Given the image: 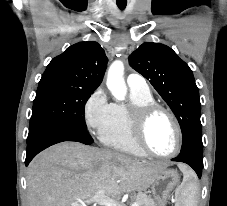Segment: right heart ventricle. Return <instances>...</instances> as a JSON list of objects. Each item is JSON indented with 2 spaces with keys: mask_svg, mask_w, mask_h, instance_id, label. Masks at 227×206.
Masks as SVG:
<instances>
[{
  "mask_svg": "<svg viewBox=\"0 0 227 206\" xmlns=\"http://www.w3.org/2000/svg\"><path fill=\"white\" fill-rule=\"evenodd\" d=\"M150 91L137 92L130 90L128 104H112L111 120L106 130L100 135L104 145L114 150L137 157H146L135 143L131 133L130 109L134 106H141L154 103Z\"/></svg>",
  "mask_w": 227,
  "mask_h": 206,
  "instance_id": "e07e8e85",
  "label": "right heart ventricle"
}]
</instances>
